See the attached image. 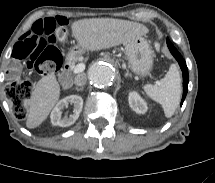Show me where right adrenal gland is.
<instances>
[{"mask_svg":"<svg viewBox=\"0 0 215 183\" xmlns=\"http://www.w3.org/2000/svg\"><path fill=\"white\" fill-rule=\"evenodd\" d=\"M83 89H84V88L81 87V88H76L75 90H76V91H83Z\"/></svg>","mask_w":215,"mask_h":183,"instance_id":"2a0ac1e0","label":"right adrenal gland"}]
</instances>
